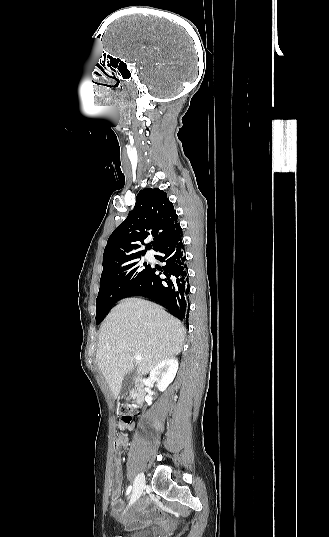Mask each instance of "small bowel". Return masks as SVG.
I'll return each mask as SVG.
<instances>
[{
  "instance_id": "small-bowel-1",
  "label": "small bowel",
  "mask_w": 329,
  "mask_h": 537,
  "mask_svg": "<svg viewBox=\"0 0 329 537\" xmlns=\"http://www.w3.org/2000/svg\"><path fill=\"white\" fill-rule=\"evenodd\" d=\"M119 427L122 428L123 424L119 423ZM114 476H113V490L110 497V507L112 514H117L118 511L123 506V501L121 500V459L118 456L114 457ZM153 509V510H152ZM159 514L157 511V506L154 502H140L138 503L132 511L126 516L123 520V524L127 530H133L146 526L153 520L158 519Z\"/></svg>"
}]
</instances>
